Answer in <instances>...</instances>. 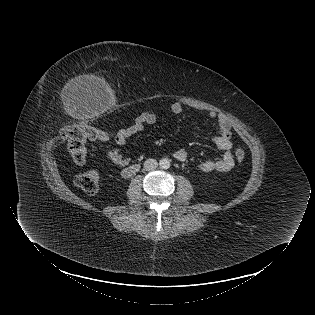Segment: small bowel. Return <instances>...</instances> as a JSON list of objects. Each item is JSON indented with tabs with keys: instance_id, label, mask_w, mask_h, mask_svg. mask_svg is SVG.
<instances>
[{
	"instance_id": "obj_1",
	"label": "small bowel",
	"mask_w": 315,
	"mask_h": 315,
	"mask_svg": "<svg viewBox=\"0 0 315 315\" xmlns=\"http://www.w3.org/2000/svg\"><path fill=\"white\" fill-rule=\"evenodd\" d=\"M169 111L173 114H180L184 111V106L179 103H173ZM208 116L216 120L218 125V133L211 137V141L223 151V155L217 160H206L202 163L201 169L204 172L219 171L227 172L234 167V159L232 155V133L231 122L224 113L214 111L208 112ZM158 122V115L153 111H145L139 114L133 123L125 128H121L114 134L116 144L122 146L132 136L142 132L148 125H154ZM106 157L113 164L126 167L130 163V159L125 156L120 149L113 148L106 151ZM174 158L178 161H185L187 152L184 149H178L174 152Z\"/></svg>"
}]
</instances>
